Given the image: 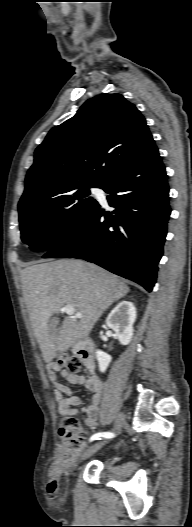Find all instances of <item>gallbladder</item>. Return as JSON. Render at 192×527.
Segmentation results:
<instances>
[{"label":"gallbladder","instance_id":"gallbladder-1","mask_svg":"<svg viewBox=\"0 0 192 527\" xmlns=\"http://www.w3.org/2000/svg\"><path fill=\"white\" fill-rule=\"evenodd\" d=\"M58 324H59V319L58 318H53V319L50 320V323H49V334H50V336H54Z\"/></svg>","mask_w":192,"mask_h":527}]
</instances>
